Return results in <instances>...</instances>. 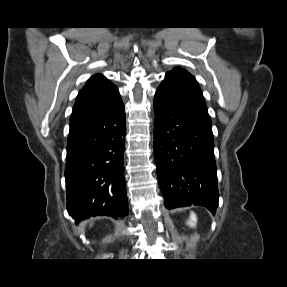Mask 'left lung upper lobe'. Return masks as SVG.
<instances>
[{"mask_svg":"<svg viewBox=\"0 0 287 287\" xmlns=\"http://www.w3.org/2000/svg\"><path fill=\"white\" fill-rule=\"evenodd\" d=\"M161 86L168 88L178 101L211 122L202 91L196 79L185 69L177 67L167 72Z\"/></svg>","mask_w":287,"mask_h":287,"instance_id":"obj_1","label":"left lung upper lobe"}]
</instances>
